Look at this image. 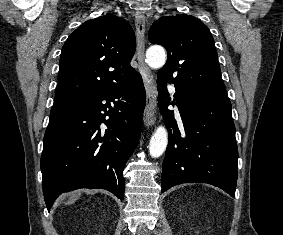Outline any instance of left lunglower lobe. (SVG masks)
Masks as SVG:
<instances>
[{
  "instance_id": "0a47b994",
  "label": "left lung lower lobe",
  "mask_w": 283,
  "mask_h": 235,
  "mask_svg": "<svg viewBox=\"0 0 283 235\" xmlns=\"http://www.w3.org/2000/svg\"><path fill=\"white\" fill-rule=\"evenodd\" d=\"M166 79L158 76V105L168 128L162 192L188 182L208 183L235 196L238 149L228 98H213L175 85L181 121L167 107Z\"/></svg>"
}]
</instances>
